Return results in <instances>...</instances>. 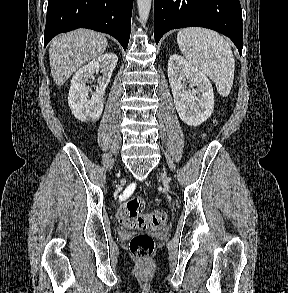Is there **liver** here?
Masks as SVG:
<instances>
[{"mask_svg":"<svg viewBox=\"0 0 288 293\" xmlns=\"http://www.w3.org/2000/svg\"><path fill=\"white\" fill-rule=\"evenodd\" d=\"M107 46L104 35L88 29H77L55 37L49 48L55 84L63 85L82 65L103 54Z\"/></svg>","mask_w":288,"mask_h":293,"instance_id":"1","label":"liver"}]
</instances>
